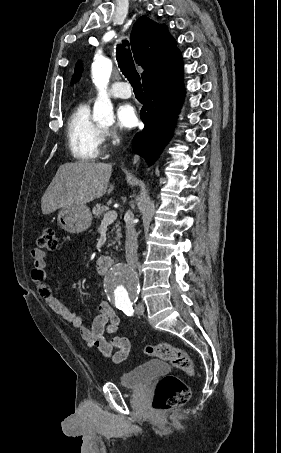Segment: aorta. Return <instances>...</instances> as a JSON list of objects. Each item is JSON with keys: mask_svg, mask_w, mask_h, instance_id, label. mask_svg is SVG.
Wrapping results in <instances>:
<instances>
[{"mask_svg": "<svg viewBox=\"0 0 281 453\" xmlns=\"http://www.w3.org/2000/svg\"><path fill=\"white\" fill-rule=\"evenodd\" d=\"M112 72V62L108 58H97L91 67L93 82L98 90V97L93 108V119L100 123L111 124L114 121L113 105L107 93ZM104 292L108 300L116 306H125L139 293V280L131 267L113 266L104 278Z\"/></svg>", "mask_w": 281, "mask_h": 453, "instance_id": "1", "label": "aorta"}]
</instances>
